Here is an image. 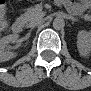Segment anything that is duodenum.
Wrapping results in <instances>:
<instances>
[{"label":"duodenum","mask_w":91,"mask_h":91,"mask_svg":"<svg viewBox=\"0 0 91 91\" xmlns=\"http://www.w3.org/2000/svg\"><path fill=\"white\" fill-rule=\"evenodd\" d=\"M11 29L14 33H21L24 30V21L22 19H17L13 22Z\"/></svg>","instance_id":"410a0bca"}]
</instances>
